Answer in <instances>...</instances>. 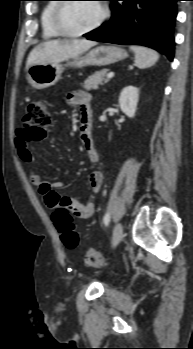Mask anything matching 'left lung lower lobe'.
Segmentation results:
<instances>
[{"label": "left lung lower lobe", "mask_w": 193, "mask_h": 349, "mask_svg": "<svg viewBox=\"0 0 193 349\" xmlns=\"http://www.w3.org/2000/svg\"><path fill=\"white\" fill-rule=\"evenodd\" d=\"M112 17L107 24L89 32V40L139 44L174 56V23L178 0H109Z\"/></svg>", "instance_id": "0a47b994"}]
</instances>
